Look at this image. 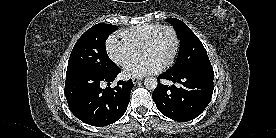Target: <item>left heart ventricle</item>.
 Listing matches in <instances>:
<instances>
[{
	"instance_id": "1",
	"label": "left heart ventricle",
	"mask_w": 276,
	"mask_h": 138,
	"mask_svg": "<svg viewBox=\"0 0 276 138\" xmlns=\"http://www.w3.org/2000/svg\"><path fill=\"white\" fill-rule=\"evenodd\" d=\"M174 47V41L171 33L165 32L161 35L157 43L141 49L143 57H153L163 65L170 57Z\"/></svg>"
}]
</instances>
